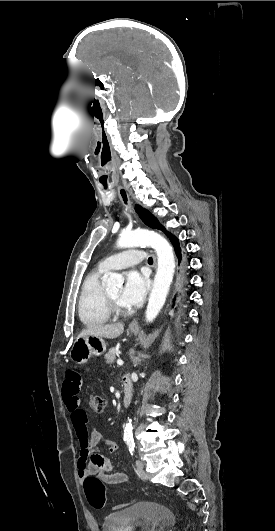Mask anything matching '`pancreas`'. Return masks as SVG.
Segmentation results:
<instances>
[{"mask_svg": "<svg viewBox=\"0 0 275 531\" xmlns=\"http://www.w3.org/2000/svg\"><path fill=\"white\" fill-rule=\"evenodd\" d=\"M116 351H117L116 347H111L108 353H106L104 359H106V363H108V365H112V363H114L116 359Z\"/></svg>", "mask_w": 275, "mask_h": 531, "instance_id": "1", "label": "pancreas"}]
</instances>
